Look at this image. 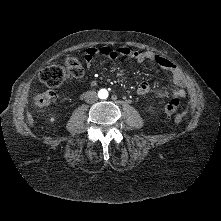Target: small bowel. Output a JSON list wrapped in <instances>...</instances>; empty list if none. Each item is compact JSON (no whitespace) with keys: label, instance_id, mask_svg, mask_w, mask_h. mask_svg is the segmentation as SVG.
Segmentation results:
<instances>
[{"label":"small bowel","instance_id":"c3829d8e","mask_svg":"<svg viewBox=\"0 0 221 221\" xmlns=\"http://www.w3.org/2000/svg\"><path fill=\"white\" fill-rule=\"evenodd\" d=\"M98 56L111 60L126 57L134 60L137 63L150 61L170 73L172 81L174 83L173 88L164 89L158 86H152L147 82H142L137 88V93L139 95L154 94L160 98L185 96V78L182 72L172 61L161 55L150 51H137L129 47H90L85 50V61L87 62V64H90Z\"/></svg>","mask_w":221,"mask_h":221}]
</instances>
